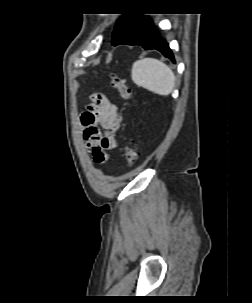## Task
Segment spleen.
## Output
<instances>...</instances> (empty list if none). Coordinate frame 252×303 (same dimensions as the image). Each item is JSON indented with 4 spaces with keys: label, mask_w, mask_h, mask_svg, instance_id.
Listing matches in <instances>:
<instances>
[{
    "label": "spleen",
    "mask_w": 252,
    "mask_h": 303,
    "mask_svg": "<svg viewBox=\"0 0 252 303\" xmlns=\"http://www.w3.org/2000/svg\"><path fill=\"white\" fill-rule=\"evenodd\" d=\"M132 81L158 95H169L175 85V75L168 65L155 58H143L134 62Z\"/></svg>",
    "instance_id": "1"
}]
</instances>
